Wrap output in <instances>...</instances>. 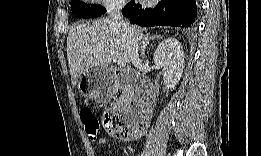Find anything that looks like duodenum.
Here are the masks:
<instances>
[{
	"mask_svg": "<svg viewBox=\"0 0 261 156\" xmlns=\"http://www.w3.org/2000/svg\"><path fill=\"white\" fill-rule=\"evenodd\" d=\"M113 74L121 84L131 81V76L125 69L115 68ZM137 84L136 91L130 93L126 100L120 101V105L131 115L134 122L148 124L153 109L152 87L145 79H140Z\"/></svg>",
	"mask_w": 261,
	"mask_h": 156,
	"instance_id": "410a0bca",
	"label": "duodenum"
}]
</instances>
